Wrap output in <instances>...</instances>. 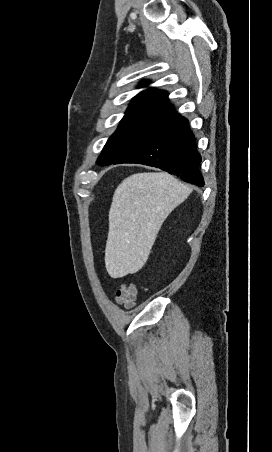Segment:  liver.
<instances>
[{
  "label": "liver",
  "instance_id": "obj_1",
  "mask_svg": "<svg viewBox=\"0 0 272 452\" xmlns=\"http://www.w3.org/2000/svg\"><path fill=\"white\" fill-rule=\"evenodd\" d=\"M190 193L191 188L166 172L133 174L119 184L105 248V266L112 278L142 269L163 222Z\"/></svg>",
  "mask_w": 272,
  "mask_h": 452
}]
</instances>
